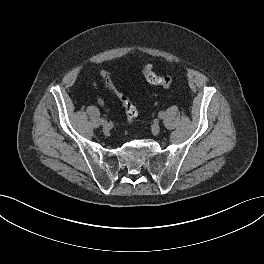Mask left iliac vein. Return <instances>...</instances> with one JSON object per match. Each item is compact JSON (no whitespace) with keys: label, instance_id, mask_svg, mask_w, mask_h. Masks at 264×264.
<instances>
[{"label":"left iliac vein","instance_id":"left-iliac-vein-1","mask_svg":"<svg viewBox=\"0 0 264 264\" xmlns=\"http://www.w3.org/2000/svg\"><path fill=\"white\" fill-rule=\"evenodd\" d=\"M151 130H152V133H153L154 135L159 134V132H160V125L157 124V123L154 124V125L152 126Z\"/></svg>","mask_w":264,"mask_h":264}]
</instances>
